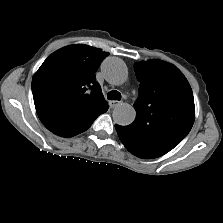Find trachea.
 I'll list each match as a JSON object with an SVG mask.
<instances>
[{
	"label": "trachea",
	"mask_w": 223,
	"mask_h": 223,
	"mask_svg": "<svg viewBox=\"0 0 223 223\" xmlns=\"http://www.w3.org/2000/svg\"><path fill=\"white\" fill-rule=\"evenodd\" d=\"M107 98L109 100H121V94L116 90H112L108 93Z\"/></svg>",
	"instance_id": "trachea-1"
}]
</instances>
